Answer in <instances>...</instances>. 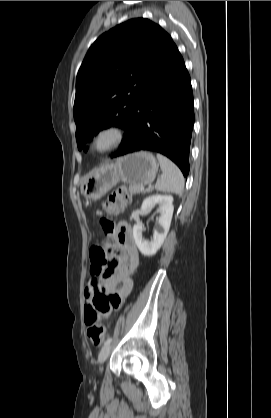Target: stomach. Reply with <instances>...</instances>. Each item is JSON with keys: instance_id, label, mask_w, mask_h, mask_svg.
<instances>
[{"instance_id": "1", "label": "stomach", "mask_w": 271, "mask_h": 418, "mask_svg": "<svg viewBox=\"0 0 271 418\" xmlns=\"http://www.w3.org/2000/svg\"><path fill=\"white\" fill-rule=\"evenodd\" d=\"M157 170V161L151 153L136 152L102 164L86 177L81 190L86 199L97 201L119 181L140 186L151 183Z\"/></svg>"}]
</instances>
